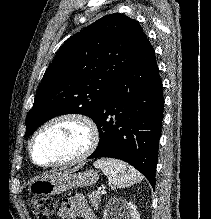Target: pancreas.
Segmentation results:
<instances>
[{"instance_id": "obj_1", "label": "pancreas", "mask_w": 211, "mask_h": 219, "mask_svg": "<svg viewBox=\"0 0 211 219\" xmlns=\"http://www.w3.org/2000/svg\"><path fill=\"white\" fill-rule=\"evenodd\" d=\"M89 203L94 207V209H98V205L100 202V195L98 193L92 192L88 194Z\"/></svg>"}]
</instances>
